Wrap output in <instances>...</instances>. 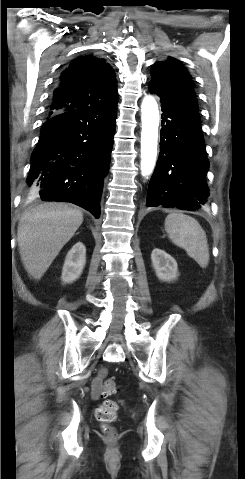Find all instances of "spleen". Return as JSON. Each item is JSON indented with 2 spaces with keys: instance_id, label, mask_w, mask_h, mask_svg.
<instances>
[{
  "instance_id": "3e777b00",
  "label": "spleen",
  "mask_w": 245,
  "mask_h": 479,
  "mask_svg": "<svg viewBox=\"0 0 245 479\" xmlns=\"http://www.w3.org/2000/svg\"><path fill=\"white\" fill-rule=\"evenodd\" d=\"M165 230L170 240L183 248L200 267L208 266L209 248L206 233L195 218L173 212L165 219Z\"/></svg>"
}]
</instances>
